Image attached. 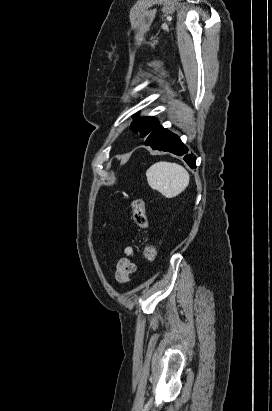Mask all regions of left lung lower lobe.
<instances>
[{
	"mask_svg": "<svg viewBox=\"0 0 272 411\" xmlns=\"http://www.w3.org/2000/svg\"><path fill=\"white\" fill-rule=\"evenodd\" d=\"M145 145L151 146L154 150L168 151L178 156L188 152L187 147L181 142L180 138L163 127L151 132L147 136ZM184 160L191 168H196L195 157L186 155Z\"/></svg>",
	"mask_w": 272,
	"mask_h": 411,
	"instance_id": "obj_1",
	"label": "left lung lower lobe"
}]
</instances>
